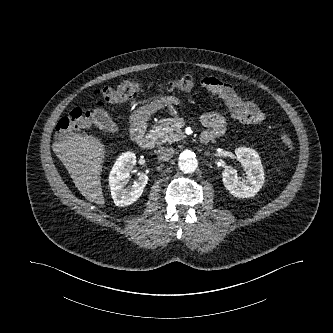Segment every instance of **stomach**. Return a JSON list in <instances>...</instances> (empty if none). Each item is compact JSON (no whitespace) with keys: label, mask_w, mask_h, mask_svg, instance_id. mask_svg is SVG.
Masks as SVG:
<instances>
[{"label":"stomach","mask_w":333,"mask_h":333,"mask_svg":"<svg viewBox=\"0 0 333 333\" xmlns=\"http://www.w3.org/2000/svg\"><path fill=\"white\" fill-rule=\"evenodd\" d=\"M180 103H181L180 100H178L177 98L171 96H163L160 99L137 109L132 114L131 120L134 124H143L149 119V117L153 113L157 112V110H160L167 105L171 104L178 105Z\"/></svg>","instance_id":"0dacf381"}]
</instances>
